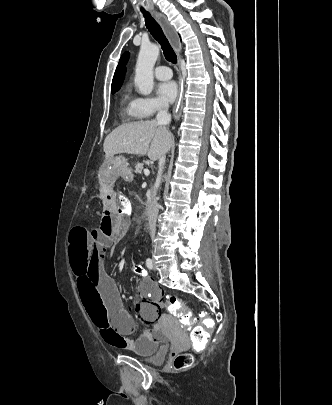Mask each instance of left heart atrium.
I'll return each instance as SVG.
<instances>
[{
    "instance_id": "obj_1",
    "label": "left heart atrium",
    "mask_w": 332,
    "mask_h": 405,
    "mask_svg": "<svg viewBox=\"0 0 332 405\" xmlns=\"http://www.w3.org/2000/svg\"><path fill=\"white\" fill-rule=\"evenodd\" d=\"M157 91L161 99L166 103H172L178 96V86L174 81L160 83Z\"/></svg>"
}]
</instances>
